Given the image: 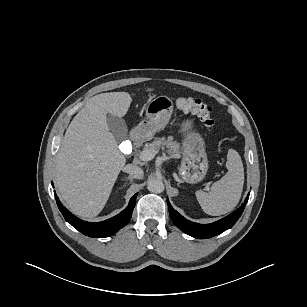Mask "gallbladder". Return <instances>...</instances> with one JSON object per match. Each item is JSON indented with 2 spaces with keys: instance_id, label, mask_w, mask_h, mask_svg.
Segmentation results:
<instances>
[{
  "instance_id": "bac80fb5",
  "label": "gallbladder",
  "mask_w": 307,
  "mask_h": 307,
  "mask_svg": "<svg viewBox=\"0 0 307 307\" xmlns=\"http://www.w3.org/2000/svg\"><path fill=\"white\" fill-rule=\"evenodd\" d=\"M107 124L116 140L123 141L127 138L128 129L122 118L108 114Z\"/></svg>"
}]
</instances>
